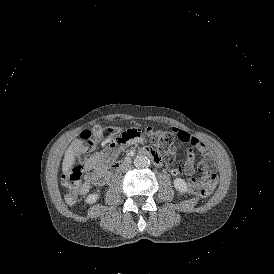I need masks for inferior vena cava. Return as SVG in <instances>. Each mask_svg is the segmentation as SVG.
Wrapping results in <instances>:
<instances>
[{
    "label": "inferior vena cava",
    "instance_id": "obj_1",
    "mask_svg": "<svg viewBox=\"0 0 274 274\" xmlns=\"http://www.w3.org/2000/svg\"><path fill=\"white\" fill-rule=\"evenodd\" d=\"M127 168L130 170L132 168V166L131 165H127Z\"/></svg>",
    "mask_w": 274,
    "mask_h": 274
}]
</instances>
